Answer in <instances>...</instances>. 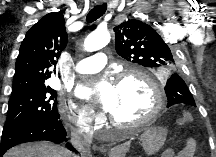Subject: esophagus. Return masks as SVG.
Returning <instances> with one entry per match:
<instances>
[{"instance_id": "esophagus-1", "label": "esophagus", "mask_w": 216, "mask_h": 157, "mask_svg": "<svg viewBox=\"0 0 216 157\" xmlns=\"http://www.w3.org/2000/svg\"><path fill=\"white\" fill-rule=\"evenodd\" d=\"M98 3H103V0H99ZM95 149L102 150V147H95Z\"/></svg>"}]
</instances>
